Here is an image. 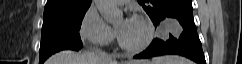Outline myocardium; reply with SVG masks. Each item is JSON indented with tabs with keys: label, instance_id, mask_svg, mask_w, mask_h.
<instances>
[{
	"label": "myocardium",
	"instance_id": "myocardium-1",
	"mask_svg": "<svg viewBox=\"0 0 242 64\" xmlns=\"http://www.w3.org/2000/svg\"><path fill=\"white\" fill-rule=\"evenodd\" d=\"M133 20H136L142 23L146 27L147 35L144 41L137 45H130L123 40L121 34L119 33L118 42H119V45L128 52H140L146 49L151 44L154 38L155 29H154L153 23L144 16H140V15L134 16Z\"/></svg>",
	"mask_w": 242,
	"mask_h": 64
}]
</instances>
